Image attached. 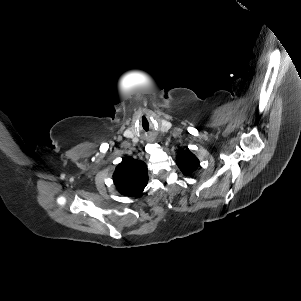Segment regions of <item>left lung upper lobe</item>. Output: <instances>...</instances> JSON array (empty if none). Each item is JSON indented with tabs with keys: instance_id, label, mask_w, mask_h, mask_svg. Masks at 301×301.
<instances>
[{
	"instance_id": "1",
	"label": "left lung upper lobe",
	"mask_w": 301,
	"mask_h": 301,
	"mask_svg": "<svg viewBox=\"0 0 301 301\" xmlns=\"http://www.w3.org/2000/svg\"><path fill=\"white\" fill-rule=\"evenodd\" d=\"M176 163L185 176H190L199 167V160L189 150L181 152Z\"/></svg>"
}]
</instances>
